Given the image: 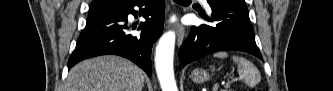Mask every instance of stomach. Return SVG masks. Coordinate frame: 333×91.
Segmentation results:
<instances>
[{
  "instance_id": "stomach-1",
  "label": "stomach",
  "mask_w": 333,
  "mask_h": 91,
  "mask_svg": "<svg viewBox=\"0 0 333 91\" xmlns=\"http://www.w3.org/2000/svg\"><path fill=\"white\" fill-rule=\"evenodd\" d=\"M209 78H210L209 73L204 69L197 68L192 72V80L195 83L199 84L204 83L207 80H209Z\"/></svg>"
}]
</instances>
